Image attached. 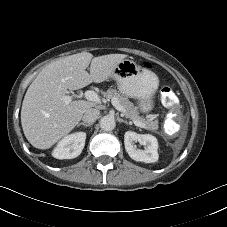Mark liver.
I'll return each instance as SVG.
<instances>
[{"label":"liver","instance_id":"6515ba94","mask_svg":"<svg viewBox=\"0 0 227 227\" xmlns=\"http://www.w3.org/2000/svg\"><path fill=\"white\" fill-rule=\"evenodd\" d=\"M125 58V54L93 57L91 53L81 52L44 67L29 86L21 108L22 129L30 144L38 149H48L70 133L85 111L96 103L75 100L65 104L62 96L68 90L108 80Z\"/></svg>","mask_w":227,"mask_h":227}]
</instances>
